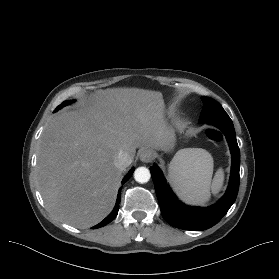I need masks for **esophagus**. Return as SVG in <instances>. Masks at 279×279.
<instances>
[{
	"label": "esophagus",
	"mask_w": 279,
	"mask_h": 279,
	"mask_svg": "<svg viewBox=\"0 0 279 279\" xmlns=\"http://www.w3.org/2000/svg\"><path fill=\"white\" fill-rule=\"evenodd\" d=\"M154 158V152L151 149H143L140 152V160L145 163H149Z\"/></svg>",
	"instance_id": "1"
}]
</instances>
